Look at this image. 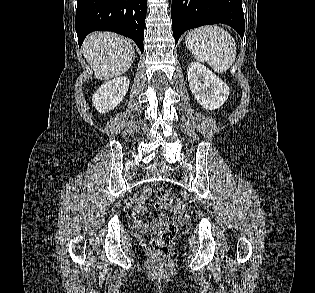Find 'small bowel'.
Returning <instances> with one entry per match:
<instances>
[{"instance_id":"1","label":"small bowel","mask_w":315,"mask_h":293,"mask_svg":"<svg viewBox=\"0 0 315 293\" xmlns=\"http://www.w3.org/2000/svg\"><path fill=\"white\" fill-rule=\"evenodd\" d=\"M152 194V190L150 187H145L142 191V193L140 194V196L138 197L136 204L134 206L133 209V219L134 222L136 224V226L141 229V230H146L148 228V224L145 223L142 218H141V214L144 213L147 210V202L150 198ZM156 208H162V209H167V213L168 215H175L176 210L175 208H170L167 205H162L159 203H156L154 205ZM166 213H162L159 215V217L157 219H154L151 227L152 229L155 230H162L163 225L168 222L169 217Z\"/></svg>"}]
</instances>
